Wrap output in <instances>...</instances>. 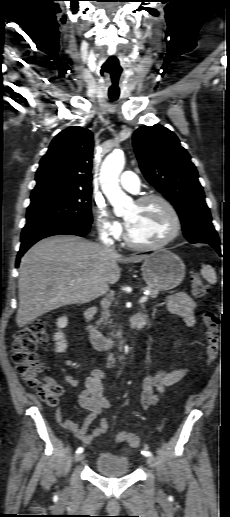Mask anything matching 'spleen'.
I'll use <instances>...</instances> for the list:
<instances>
[{
  "label": "spleen",
  "mask_w": 230,
  "mask_h": 517,
  "mask_svg": "<svg viewBox=\"0 0 230 517\" xmlns=\"http://www.w3.org/2000/svg\"><path fill=\"white\" fill-rule=\"evenodd\" d=\"M201 275L210 284H215L217 281L215 270L210 265H202Z\"/></svg>",
  "instance_id": "obj_1"
}]
</instances>
